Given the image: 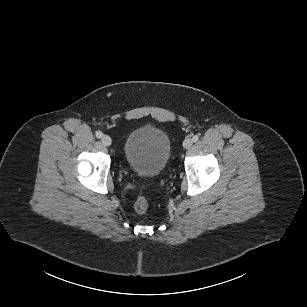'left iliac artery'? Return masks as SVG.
Segmentation results:
<instances>
[{"instance_id":"left-iliac-artery-1","label":"left iliac artery","mask_w":307,"mask_h":307,"mask_svg":"<svg viewBox=\"0 0 307 307\" xmlns=\"http://www.w3.org/2000/svg\"><path fill=\"white\" fill-rule=\"evenodd\" d=\"M198 139H199V136H198V135H194L193 138H192V140H193L194 142L198 141Z\"/></svg>"}]
</instances>
